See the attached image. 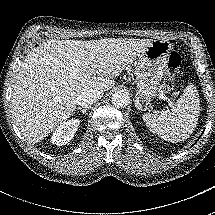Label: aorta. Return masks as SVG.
<instances>
[{
  "mask_svg": "<svg viewBox=\"0 0 215 215\" xmlns=\"http://www.w3.org/2000/svg\"><path fill=\"white\" fill-rule=\"evenodd\" d=\"M111 102L115 107H125L130 102L129 94L125 91H116L112 95Z\"/></svg>",
  "mask_w": 215,
  "mask_h": 215,
  "instance_id": "aorta-1",
  "label": "aorta"
}]
</instances>
